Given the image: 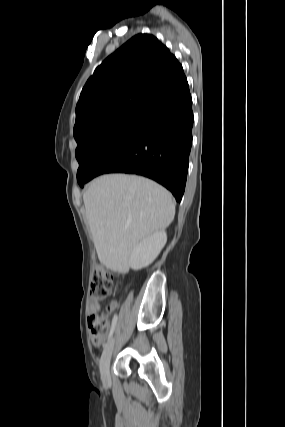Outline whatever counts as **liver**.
<instances>
[{"instance_id":"1","label":"liver","mask_w":285,"mask_h":427,"mask_svg":"<svg viewBox=\"0 0 285 427\" xmlns=\"http://www.w3.org/2000/svg\"><path fill=\"white\" fill-rule=\"evenodd\" d=\"M86 218L99 261L124 269L136 245L173 221L175 203L162 186L135 175L94 179L83 194Z\"/></svg>"}]
</instances>
